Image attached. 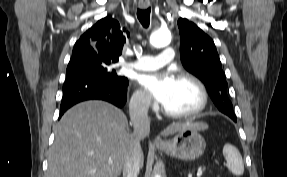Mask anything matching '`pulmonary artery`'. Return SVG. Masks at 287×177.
Segmentation results:
<instances>
[{
  "instance_id": "pulmonary-artery-1",
  "label": "pulmonary artery",
  "mask_w": 287,
  "mask_h": 177,
  "mask_svg": "<svg viewBox=\"0 0 287 177\" xmlns=\"http://www.w3.org/2000/svg\"><path fill=\"white\" fill-rule=\"evenodd\" d=\"M174 59L173 47H165L159 55H143L132 66L139 70H153L160 68Z\"/></svg>"
}]
</instances>
